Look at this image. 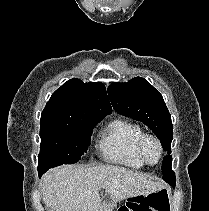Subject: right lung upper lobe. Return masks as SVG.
<instances>
[{
	"instance_id": "obj_1",
	"label": "right lung upper lobe",
	"mask_w": 209,
	"mask_h": 211,
	"mask_svg": "<svg viewBox=\"0 0 209 211\" xmlns=\"http://www.w3.org/2000/svg\"><path fill=\"white\" fill-rule=\"evenodd\" d=\"M112 112L101 82L84 83L73 78L57 89L47 102L41 122H67L105 117Z\"/></svg>"
}]
</instances>
